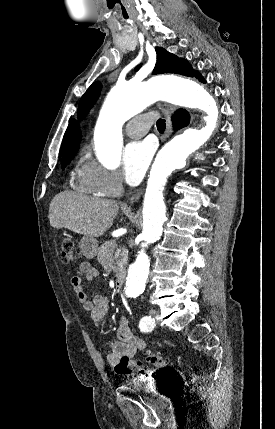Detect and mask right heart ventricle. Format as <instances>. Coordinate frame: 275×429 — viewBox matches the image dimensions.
<instances>
[{
  "label": "right heart ventricle",
  "instance_id": "1",
  "mask_svg": "<svg viewBox=\"0 0 275 429\" xmlns=\"http://www.w3.org/2000/svg\"><path fill=\"white\" fill-rule=\"evenodd\" d=\"M75 184L82 192L99 196L104 195L95 187L91 180L89 163L82 165V167L77 171Z\"/></svg>",
  "mask_w": 275,
  "mask_h": 429
}]
</instances>
